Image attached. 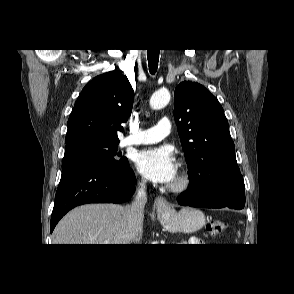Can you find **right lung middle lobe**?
<instances>
[{
  "mask_svg": "<svg viewBox=\"0 0 294 294\" xmlns=\"http://www.w3.org/2000/svg\"><path fill=\"white\" fill-rule=\"evenodd\" d=\"M119 142L82 139L66 144L62 171L77 165L93 164L104 167L123 168L128 164L117 152Z\"/></svg>",
  "mask_w": 294,
  "mask_h": 294,
  "instance_id": "obj_1",
  "label": "right lung middle lobe"
}]
</instances>
